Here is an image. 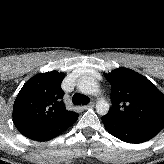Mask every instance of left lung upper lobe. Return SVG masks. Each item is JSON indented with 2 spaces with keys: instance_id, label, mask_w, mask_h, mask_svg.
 I'll return each instance as SVG.
<instances>
[{
  "instance_id": "left-lung-upper-lobe-1",
  "label": "left lung upper lobe",
  "mask_w": 164,
  "mask_h": 164,
  "mask_svg": "<svg viewBox=\"0 0 164 164\" xmlns=\"http://www.w3.org/2000/svg\"><path fill=\"white\" fill-rule=\"evenodd\" d=\"M111 84L108 114L134 126L160 132L164 128V95L141 74L118 68L104 74Z\"/></svg>"
}]
</instances>
